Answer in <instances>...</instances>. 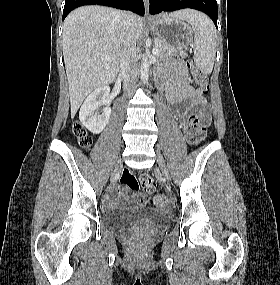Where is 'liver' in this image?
<instances>
[{
    "label": "liver",
    "instance_id": "1",
    "mask_svg": "<svg viewBox=\"0 0 280 285\" xmlns=\"http://www.w3.org/2000/svg\"><path fill=\"white\" fill-rule=\"evenodd\" d=\"M123 16V12L115 9L84 6L66 17L63 56L72 118L89 93L115 80L123 48ZM134 17L135 35L139 39L143 21L139 16Z\"/></svg>",
    "mask_w": 280,
    "mask_h": 285
}]
</instances>
